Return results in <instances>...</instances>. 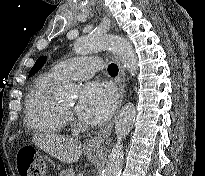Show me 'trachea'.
Segmentation results:
<instances>
[{
    "label": "trachea",
    "instance_id": "1",
    "mask_svg": "<svg viewBox=\"0 0 205 176\" xmlns=\"http://www.w3.org/2000/svg\"><path fill=\"white\" fill-rule=\"evenodd\" d=\"M108 70L110 72L111 75H117L118 74V67L116 64L114 63H111L109 66H108Z\"/></svg>",
    "mask_w": 205,
    "mask_h": 176
}]
</instances>
